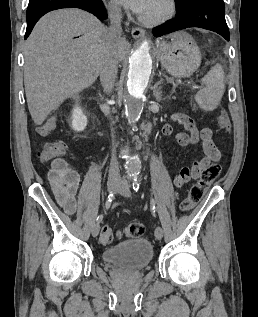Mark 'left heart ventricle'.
Instances as JSON below:
<instances>
[{
    "label": "left heart ventricle",
    "mask_w": 258,
    "mask_h": 317,
    "mask_svg": "<svg viewBox=\"0 0 258 317\" xmlns=\"http://www.w3.org/2000/svg\"><path fill=\"white\" fill-rule=\"evenodd\" d=\"M166 6L165 5H159V6H156L154 9H152L150 11V16L155 18L161 14H163L165 11H166Z\"/></svg>",
    "instance_id": "b2bd125f"
}]
</instances>
